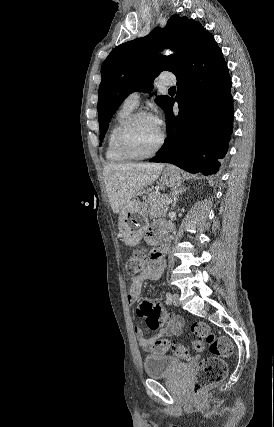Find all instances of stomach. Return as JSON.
Wrapping results in <instances>:
<instances>
[{"label": "stomach", "mask_w": 274, "mask_h": 427, "mask_svg": "<svg viewBox=\"0 0 274 427\" xmlns=\"http://www.w3.org/2000/svg\"><path fill=\"white\" fill-rule=\"evenodd\" d=\"M159 184H162V186H171V188L181 186V170H178L175 166H167L164 172H162ZM118 225L122 241L126 245H137L149 225L148 215L144 212L142 204L131 202L129 208L121 210Z\"/></svg>", "instance_id": "obj_1"}]
</instances>
